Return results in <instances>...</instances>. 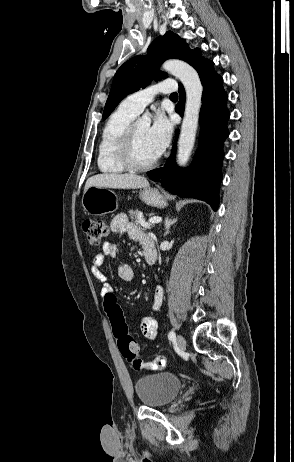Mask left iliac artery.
<instances>
[{
    "mask_svg": "<svg viewBox=\"0 0 294 462\" xmlns=\"http://www.w3.org/2000/svg\"><path fill=\"white\" fill-rule=\"evenodd\" d=\"M175 337H176L175 332H174V331H170L169 334H168L169 340H174Z\"/></svg>",
    "mask_w": 294,
    "mask_h": 462,
    "instance_id": "1",
    "label": "left iliac artery"
}]
</instances>
